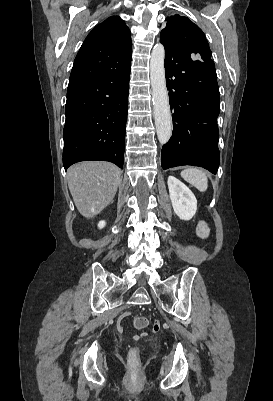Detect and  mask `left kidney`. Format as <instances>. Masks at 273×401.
Returning a JSON list of instances; mask_svg holds the SVG:
<instances>
[{"instance_id": "1", "label": "left kidney", "mask_w": 273, "mask_h": 401, "mask_svg": "<svg viewBox=\"0 0 273 401\" xmlns=\"http://www.w3.org/2000/svg\"><path fill=\"white\" fill-rule=\"evenodd\" d=\"M168 188L175 215L182 221H190L197 211L195 194L176 176H168Z\"/></svg>"}]
</instances>
